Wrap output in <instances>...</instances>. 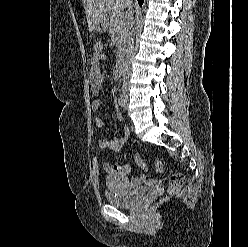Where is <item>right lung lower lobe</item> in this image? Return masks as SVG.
Returning a JSON list of instances; mask_svg holds the SVG:
<instances>
[{
	"mask_svg": "<svg viewBox=\"0 0 248 247\" xmlns=\"http://www.w3.org/2000/svg\"><path fill=\"white\" fill-rule=\"evenodd\" d=\"M143 1L144 0H138L139 5H142L143 4Z\"/></svg>",
	"mask_w": 248,
	"mask_h": 247,
	"instance_id": "98d812e1",
	"label": "right lung lower lobe"
}]
</instances>
